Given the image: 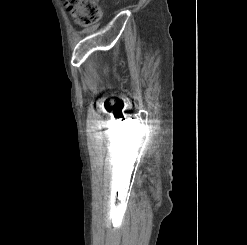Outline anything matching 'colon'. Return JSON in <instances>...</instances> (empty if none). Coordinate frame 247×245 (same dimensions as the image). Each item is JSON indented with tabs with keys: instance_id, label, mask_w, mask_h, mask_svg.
<instances>
[{
	"instance_id": "obj_1",
	"label": "colon",
	"mask_w": 247,
	"mask_h": 245,
	"mask_svg": "<svg viewBox=\"0 0 247 245\" xmlns=\"http://www.w3.org/2000/svg\"><path fill=\"white\" fill-rule=\"evenodd\" d=\"M75 22L88 26L98 22L102 17L99 0H63Z\"/></svg>"
}]
</instances>
